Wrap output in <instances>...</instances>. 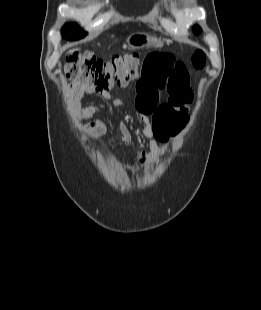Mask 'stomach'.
Segmentation results:
<instances>
[{
  "label": "stomach",
  "instance_id": "1",
  "mask_svg": "<svg viewBox=\"0 0 261 310\" xmlns=\"http://www.w3.org/2000/svg\"><path fill=\"white\" fill-rule=\"evenodd\" d=\"M128 45L132 49L148 46H153L155 48H162L164 46V42L157 37H153L145 33H134L130 35V37L128 38Z\"/></svg>",
  "mask_w": 261,
  "mask_h": 310
}]
</instances>
